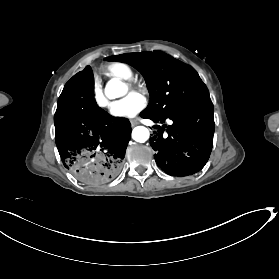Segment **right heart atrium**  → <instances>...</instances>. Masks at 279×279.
Wrapping results in <instances>:
<instances>
[{
    "label": "right heart atrium",
    "mask_w": 279,
    "mask_h": 279,
    "mask_svg": "<svg viewBox=\"0 0 279 279\" xmlns=\"http://www.w3.org/2000/svg\"><path fill=\"white\" fill-rule=\"evenodd\" d=\"M93 97L96 105L99 108H106L108 103L106 100V97L102 91L101 85L95 81L94 87H93Z\"/></svg>",
    "instance_id": "obj_1"
}]
</instances>
